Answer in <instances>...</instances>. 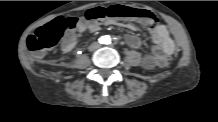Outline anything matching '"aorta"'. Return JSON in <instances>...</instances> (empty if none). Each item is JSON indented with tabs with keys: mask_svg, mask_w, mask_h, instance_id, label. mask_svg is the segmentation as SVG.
<instances>
[{
	"mask_svg": "<svg viewBox=\"0 0 218 122\" xmlns=\"http://www.w3.org/2000/svg\"><path fill=\"white\" fill-rule=\"evenodd\" d=\"M101 42H102L103 44H110V43H111V38H110V36L106 35V36L101 37Z\"/></svg>",
	"mask_w": 218,
	"mask_h": 122,
	"instance_id": "obj_1",
	"label": "aorta"
}]
</instances>
